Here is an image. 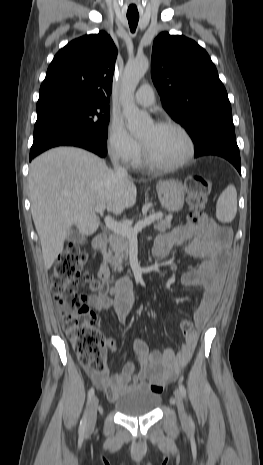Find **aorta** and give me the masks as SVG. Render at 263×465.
Here are the masks:
<instances>
[{
    "label": "aorta",
    "instance_id": "aorta-1",
    "mask_svg": "<svg viewBox=\"0 0 263 465\" xmlns=\"http://www.w3.org/2000/svg\"><path fill=\"white\" fill-rule=\"evenodd\" d=\"M149 67L147 58H137L129 61L122 78L121 100L123 114L127 120V126L131 133H142L151 123L150 116L138 109L134 103V92Z\"/></svg>",
    "mask_w": 263,
    "mask_h": 465
}]
</instances>
